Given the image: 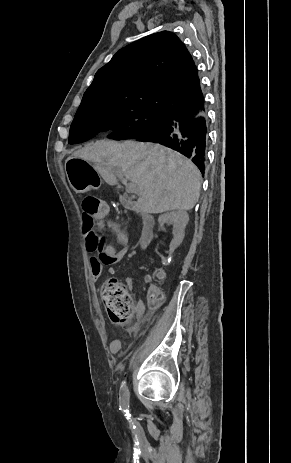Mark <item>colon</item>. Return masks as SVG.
<instances>
[{"instance_id":"obj_1","label":"colon","mask_w":291,"mask_h":463,"mask_svg":"<svg viewBox=\"0 0 291 463\" xmlns=\"http://www.w3.org/2000/svg\"><path fill=\"white\" fill-rule=\"evenodd\" d=\"M82 228H97L98 219L106 213L105 203L96 197H86L82 201ZM160 277L161 273L158 274ZM101 297L110 319L117 324H125L132 318V297L128 289L117 279H107L101 289ZM162 291L150 290L148 302L151 307L159 306L163 301Z\"/></svg>"}]
</instances>
